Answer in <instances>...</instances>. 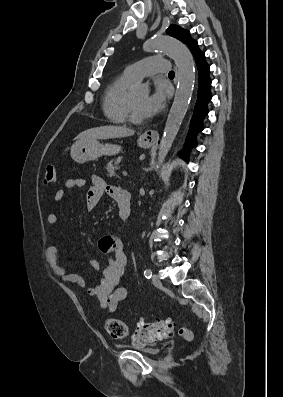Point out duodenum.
Listing matches in <instances>:
<instances>
[{
  "instance_id": "410a0bca",
  "label": "duodenum",
  "mask_w": 283,
  "mask_h": 397,
  "mask_svg": "<svg viewBox=\"0 0 283 397\" xmlns=\"http://www.w3.org/2000/svg\"><path fill=\"white\" fill-rule=\"evenodd\" d=\"M118 206L120 217L123 220H126L131 214V200L130 195L127 192H125L121 197Z\"/></svg>"
}]
</instances>
